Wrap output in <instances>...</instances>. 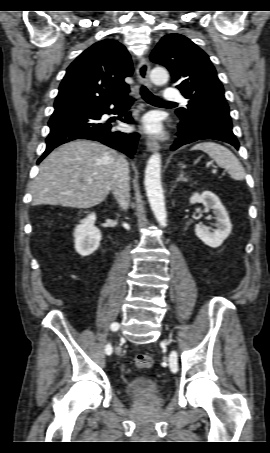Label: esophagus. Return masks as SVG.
I'll use <instances>...</instances> for the list:
<instances>
[{
    "mask_svg": "<svg viewBox=\"0 0 270 453\" xmlns=\"http://www.w3.org/2000/svg\"><path fill=\"white\" fill-rule=\"evenodd\" d=\"M137 77L141 84L151 88L152 84L149 78L150 74V64L147 59L142 58L137 66ZM146 146L149 151L155 152L160 149L159 143L154 138H148L146 141Z\"/></svg>",
    "mask_w": 270,
    "mask_h": 453,
    "instance_id": "obj_1",
    "label": "esophagus"
}]
</instances>
